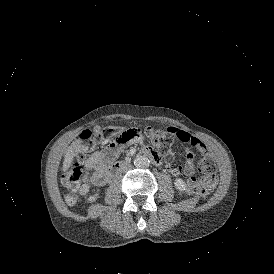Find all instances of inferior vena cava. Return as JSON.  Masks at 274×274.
Here are the masks:
<instances>
[{
	"label": "inferior vena cava",
	"instance_id": "inferior-vena-cava-1",
	"mask_svg": "<svg viewBox=\"0 0 274 274\" xmlns=\"http://www.w3.org/2000/svg\"><path fill=\"white\" fill-rule=\"evenodd\" d=\"M127 168L130 170L132 168V166L131 165H127Z\"/></svg>",
	"mask_w": 274,
	"mask_h": 274
}]
</instances>
